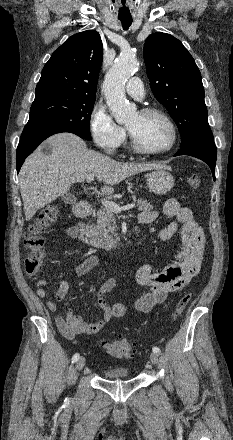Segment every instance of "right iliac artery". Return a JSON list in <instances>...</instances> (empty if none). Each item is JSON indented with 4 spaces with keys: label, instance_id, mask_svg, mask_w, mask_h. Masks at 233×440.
Instances as JSON below:
<instances>
[{
    "label": "right iliac artery",
    "instance_id": "82829eb1",
    "mask_svg": "<svg viewBox=\"0 0 233 440\" xmlns=\"http://www.w3.org/2000/svg\"><path fill=\"white\" fill-rule=\"evenodd\" d=\"M78 359H79V354L78 353L74 354L72 357V363H75Z\"/></svg>",
    "mask_w": 233,
    "mask_h": 440
}]
</instances>
